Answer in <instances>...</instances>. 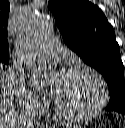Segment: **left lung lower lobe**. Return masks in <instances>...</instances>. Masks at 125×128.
<instances>
[{"mask_svg": "<svg viewBox=\"0 0 125 128\" xmlns=\"http://www.w3.org/2000/svg\"><path fill=\"white\" fill-rule=\"evenodd\" d=\"M107 111H115V112H119V113L125 115V109L124 108L110 109V110H107Z\"/></svg>", "mask_w": 125, "mask_h": 128, "instance_id": "1", "label": "left lung lower lobe"}]
</instances>
